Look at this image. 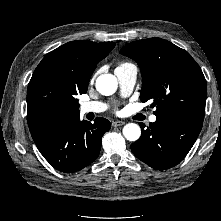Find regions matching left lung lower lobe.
Returning <instances> with one entry per match:
<instances>
[{
  "mask_svg": "<svg viewBox=\"0 0 221 221\" xmlns=\"http://www.w3.org/2000/svg\"><path fill=\"white\" fill-rule=\"evenodd\" d=\"M202 123L187 117H157L131 144L134 155L155 169H169L180 163L192 148Z\"/></svg>",
  "mask_w": 221,
  "mask_h": 221,
  "instance_id": "0a47b994",
  "label": "left lung lower lobe"
}]
</instances>
